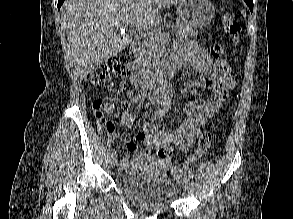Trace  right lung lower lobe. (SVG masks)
<instances>
[{
  "label": "right lung lower lobe",
  "mask_w": 293,
  "mask_h": 219,
  "mask_svg": "<svg viewBox=\"0 0 293 219\" xmlns=\"http://www.w3.org/2000/svg\"><path fill=\"white\" fill-rule=\"evenodd\" d=\"M63 2H64V0H58V9H60Z\"/></svg>",
  "instance_id": "1"
}]
</instances>
